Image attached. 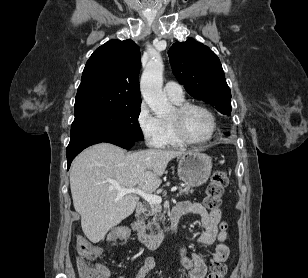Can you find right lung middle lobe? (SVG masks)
Wrapping results in <instances>:
<instances>
[{
	"label": "right lung middle lobe",
	"mask_w": 308,
	"mask_h": 278,
	"mask_svg": "<svg viewBox=\"0 0 308 278\" xmlns=\"http://www.w3.org/2000/svg\"><path fill=\"white\" fill-rule=\"evenodd\" d=\"M140 105L119 106L75 115L70 140L114 137L133 141L143 139L138 124Z\"/></svg>",
	"instance_id": "1"
}]
</instances>
